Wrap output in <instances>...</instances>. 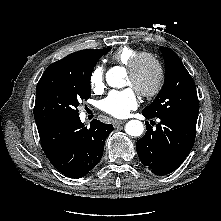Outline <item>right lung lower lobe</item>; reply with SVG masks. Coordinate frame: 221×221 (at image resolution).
I'll use <instances>...</instances> for the list:
<instances>
[{
	"label": "right lung lower lobe",
	"instance_id": "obj_1",
	"mask_svg": "<svg viewBox=\"0 0 221 221\" xmlns=\"http://www.w3.org/2000/svg\"><path fill=\"white\" fill-rule=\"evenodd\" d=\"M41 146L52 165L71 178L85 176L100 161L111 124L98 120L84 126L79 116L37 126Z\"/></svg>",
	"mask_w": 221,
	"mask_h": 221
}]
</instances>
